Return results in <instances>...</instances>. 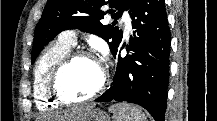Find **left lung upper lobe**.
I'll return each instance as SVG.
<instances>
[{
  "label": "left lung upper lobe",
  "instance_id": "left-lung-upper-lobe-1",
  "mask_svg": "<svg viewBox=\"0 0 217 121\" xmlns=\"http://www.w3.org/2000/svg\"><path fill=\"white\" fill-rule=\"evenodd\" d=\"M133 0H48L42 17L35 28L32 49V63L56 35L67 29H80L103 38L110 46L112 54L122 42L123 31L116 25V21L103 25L101 20L107 13L112 18L121 17L124 10H128ZM112 9H100L105 4Z\"/></svg>",
  "mask_w": 217,
  "mask_h": 121
}]
</instances>
